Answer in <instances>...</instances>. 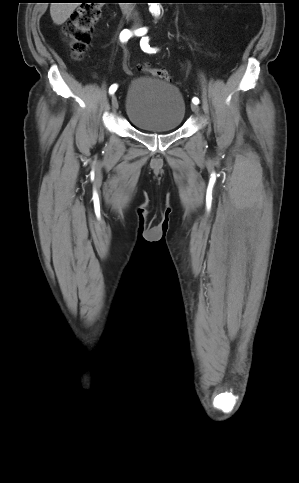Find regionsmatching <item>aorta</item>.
<instances>
[{
  "mask_svg": "<svg viewBox=\"0 0 299 483\" xmlns=\"http://www.w3.org/2000/svg\"><path fill=\"white\" fill-rule=\"evenodd\" d=\"M150 7H149V10L152 14L154 15H159L160 13V8H159V5L158 3H149Z\"/></svg>",
  "mask_w": 299,
  "mask_h": 483,
  "instance_id": "1",
  "label": "aorta"
}]
</instances>
